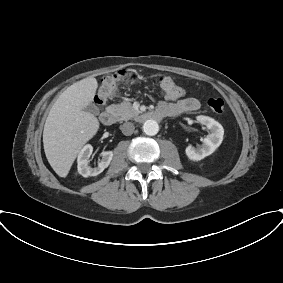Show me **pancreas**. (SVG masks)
Segmentation results:
<instances>
[{
	"instance_id": "obj_1",
	"label": "pancreas",
	"mask_w": 283,
	"mask_h": 283,
	"mask_svg": "<svg viewBox=\"0 0 283 283\" xmlns=\"http://www.w3.org/2000/svg\"><path fill=\"white\" fill-rule=\"evenodd\" d=\"M110 108L115 112L118 120H129L139 114V111L135 110L130 102L112 104Z\"/></svg>"
}]
</instances>
